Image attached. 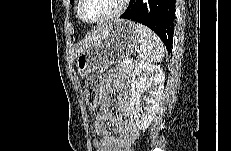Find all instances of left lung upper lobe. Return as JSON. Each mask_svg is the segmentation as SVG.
Returning <instances> with one entry per match:
<instances>
[{"label":"left lung upper lobe","mask_w":231,"mask_h":151,"mask_svg":"<svg viewBox=\"0 0 231 151\" xmlns=\"http://www.w3.org/2000/svg\"><path fill=\"white\" fill-rule=\"evenodd\" d=\"M74 0H70V2L72 3ZM134 2V0L130 1V3Z\"/></svg>","instance_id":"left-lung-upper-lobe-1"}]
</instances>
